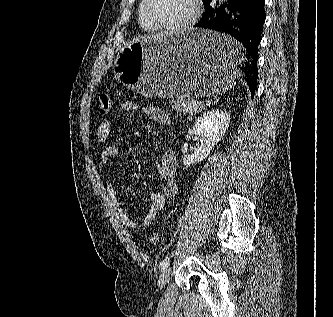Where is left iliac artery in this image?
Returning <instances> with one entry per match:
<instances>
[{
  "mask_svg": "<svg viewBox=\"0 0 333 317\" xmlns=\"http://www.w3.org/2000/svg\"><path fill=\"white\" fill-rule=\"evenodd\" d=\"M169 263H170V260L168 258L164 259L160 263L161 270H165L168 267Z\"/></svg>",
  "mask_w": 333,
  "mask_h": 317,
  "instance_id": "1",
  "label": "left iliac artery"
}]
</instances>
